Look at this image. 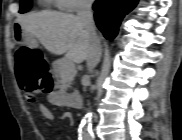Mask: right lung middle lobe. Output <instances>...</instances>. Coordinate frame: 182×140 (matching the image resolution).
I'll use <instances>...</instances> for the list:
<instances>
[{"label":"right lung middle lobe","mask_w":182,"mask_h":140,"mask_svg":"<svg viewBox=\"0 0 182 140\" xmlns=\"http://www.w3.org/2000/svg\"><path fill=\"white\" fill-rule=\"evenodd\" d=\"M20 6H21L20 11H19L20 13L27 12L31 7V0L20 1Z\"/></svg>","instance_id":"dd1d6c3e"}]
</instances>
